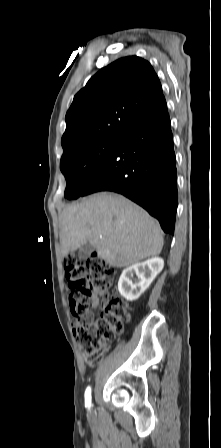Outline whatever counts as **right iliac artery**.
Returning <instances> with one entry per match:
<instances>
[{"mask_svg":"<svg viewBox=\"0 0 221 448\" xmlns=\"http://www.w3.org/2000/svg\"><path fill=\"white\" fill-rule=\"evenodd\" d=\"M85 407L88 409L91 407V388L87 387L85 391Z\"/></svg>","mask_w":221,"mask_h":448,"instance_id":"1","label":"right iliac artery"}]
</instances>
